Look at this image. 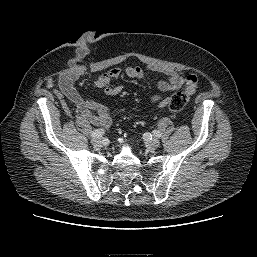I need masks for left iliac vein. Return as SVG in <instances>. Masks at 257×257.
<instances>
[{
	"label": "left iliac vein",
	"mask_w": 257,
	"mask_h": 257,
	"mask_svg": "<svg viewBox=\"0 0 257 257\" xmlns=\"http://www.w3.org/2000/svg\"><path fill=\"white\" fill-rule=\"evenodd\" d=\"M159 145H160V142L156 138H150L147 140V146L151 150L158 148Z\"/></svg>",
	"instance_id": "1"
}]
</instances>
